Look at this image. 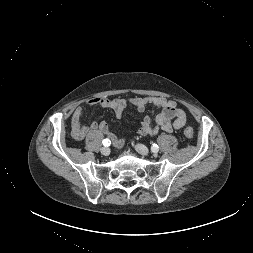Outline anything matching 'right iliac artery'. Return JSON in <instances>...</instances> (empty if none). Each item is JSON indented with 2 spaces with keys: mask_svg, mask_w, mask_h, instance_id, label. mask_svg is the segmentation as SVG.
I'll return each instance as SVG.
<instances>
[{
  "mask_svg": "<svg viewBox=\"0 0 253 253\" xmlns=\"http://www.w3.org/2000/svg\"><path fill=\"white\" fill-rule=\"evenodd\" d=\"M111 144V141L109 139H104L103 140V145L104 146H109Z\"/></svg>",
  "mask_w": 253,
  "mask_h": 253,
  "instance_id": "82829eb1",
  "label": "right iliac artery"
}]
</instances>
